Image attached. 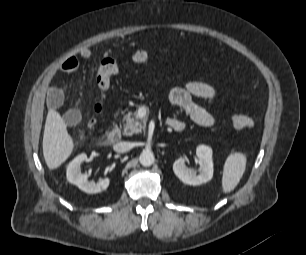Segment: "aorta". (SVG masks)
<instances>
[{
  "label": "aorta",
  "mask_w": 306,
  "mask_h": 255,
  "mask_svg": "<svg viewBox=\"0 0 306 255\" xmlns=\"http://www.w3.org/2000/svg\"><path fill=\"white\" fill-rule=\"evenodd\" d=\"M142 166L149 167L155 162L154 154L149 150H144L139 157Z\"/></svg>",
  "instance_id": "obj_1"
}]
</instances>
